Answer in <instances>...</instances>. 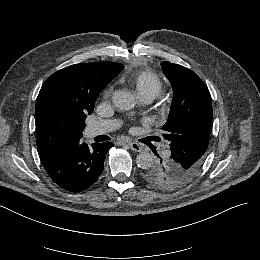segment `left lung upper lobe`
<instances>
[{
    "label": "left lung upper lobe",
    "instance_id": "obj_1",
    "mask_svg": "<svg viewBox=\"0 0 260 260\" xmlns=\"http://www.w3.org/2000/svg\"><path fill=\"white\" fill-rule=\"evenodd\" d=\"M165 76L173 88V101L164 138L170 141L171 156L144 169L143 178L151 185L178 187L202 166L208 148L212 123V101L203 81L190 69L163 62Z\"/></svg>",
    "mask_w": 260,
    "mask_h": 260
}]
</instances>
